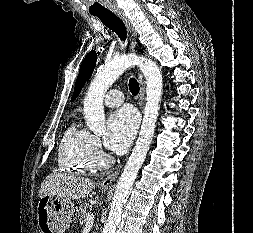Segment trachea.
<instances>
[{
    "mask_svg": "<svg viewBox=\"0 0 253 233\" xmlns=\"http://www.w3.org/2000/svg\"><path fill=\"white\" fill-rule=\"evenodd\" d=\"M94 16L98 17L106 27L115 32L122 41H125L127 36L126 27L122 20H120V18H118L114 13L107 11L94 14ZM129 89L133 95L139 93L140 88L136 79L130 78Z\"/></svg>",
    "mask_w": 253,
    "mask_h": 233,
    "instance_id": "obj_1",
    "label": "trachea"
}]
</instances>
